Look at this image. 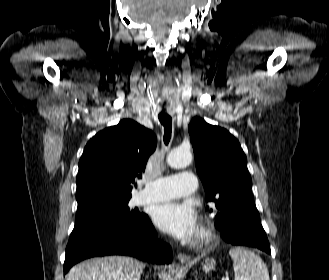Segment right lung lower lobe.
Wrapping results in <instances>:
<instances>
[{"mask_svg": "<svg viewBox=\"0 0 329 280\" xmlns=\"http://www.w3.org/2000/svg\"><path fill=\"white\" fill-rule=\"evenodd\" d=\"M105 255H128L158 264H169L173 258L170 245L157 240L148 216L138 226L97 218L74 227L66 247L64 275L84 259Z\"/></svg>", "mask_w": 329, "mask_h": 280, "instance_id": "right-lung-lower-lobe-1", "label": "right lung lower lobe"}]
</instances>
